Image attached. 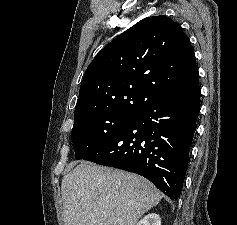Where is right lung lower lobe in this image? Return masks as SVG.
Listing matches in <instances>:
<instances>
[{"label": "right lung lower lobe", "mask_w": 237, "mask_h": 225, "mask_svg": "<svg viewBox=\"0 0 237 225\" xmlns=\"http://www.w3.org/2000/svg\"><path fill=\"white\" fill-rule=\"evenodd\" d=\"M200 95L198 84L146 104L123 130L82 159L139 174L176 200L188 169Z\"/></svg>", "instance_id": "right-lung-lower-lobe-1"}]
</instances>
